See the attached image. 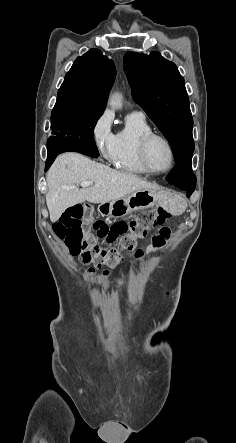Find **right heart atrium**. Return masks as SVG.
Wrapping results in <instances>:
<instances>
[{
  "mask_svg": "<svg viewBox=\"0 0 236 443\" xmlns=\"http://www.w3.org/2000/svg\"><path fill=\"white\" fill-rule=\"evenodd\" d=\"M112 121V113L105 110L95 119L90 131L95 149L107 161H112L115 155V134L112 132Z\"/></svg>",
  "mask_w": 236,
  "mask_h": 443,
  "instance_id": "obj_1",
  "label": "right heart atrium"
}]
</instances>
